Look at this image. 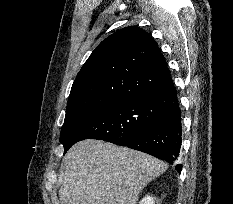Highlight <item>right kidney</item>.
Masks as SVG:
<instances>
[{
  "mask_svg": "<svg viewBox=\"0 0 233 204\" xmlns=\"http://www.w3.org/2000/svg\"><path fill=\"white\" fill-rule=\"evenodd\" d=\"M155 198L151 196H145L139 204H154Z\"/></svg>",
  "mask_w": 233,
  "mask_h": 204,
  "instance_id": "1",
  "label": "right kidney"
}]
</instances>
